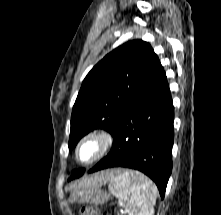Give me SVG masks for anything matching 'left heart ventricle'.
Returning <instances> with one entry per match:
<instances>
[{
	"label": "left heart ventricle",
	"instance_id": "1",
	"mask_svg": "<svg viewBox=\"0 0 221 215\" xmlns=\"http://www.w3.org/2000/svg\"><path fill=\"white\" fill-rule=\"evenodd\" d=\"M90 153V150L85 151V155H88Z\"/></svg>",
	"mask_w": 221,
	"mask_h": 215
}]
</instances>
